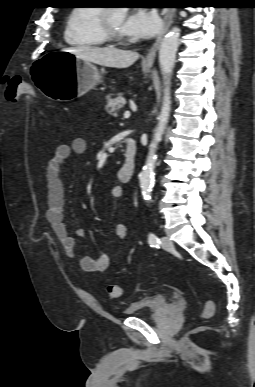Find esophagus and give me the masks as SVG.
<instances>
[{
  "instance_id": "obj_1",
  "label": "esophagus",
  "mask_w": 255,
  "mask_h": 387,
  "mask_svg": "<svg viewBox=\"0 0 255 387\" xmlns=\"http://www.w3.org/2000/svg\"><path fill=\"white\" fill-rule=\"evenodd\" d=\"M174 13H175V10L173 8H165L163 10V15H164V26H163V29L162 31L160 32V34L158 35L156 41L154 42V44L152 45V47L150 48L148 54L146 55V57L144 58L143 60V64L144 65H152L154 60H155V57H156V53L160 47V44H161V41H162V38L164 36V34L167 32V30L169 29L171 23H172V19H173V16H174Z\"/></svg>"
}]
</instances>
